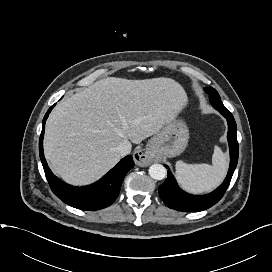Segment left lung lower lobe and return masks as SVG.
Wrapping results in <instances>:
<instances>
[{
	"instance_id": "1",
	"label": "left lung lower lobe",
	"mask_w": 272,
	"mask_h": 272,
	"mask_svg": "<svg viewBox=\"0 0 272 272\" xmlns=\"http://www.w3.org/2000/svg\"><path fill=\"white\" fill-rule=\"evenodd\" d=\"M210 102L212 106L227 119L228 122L227 138L230 150V166L228 174L224 182L216 190L206 195L196 196L181 190L169 170L167 179L159 186L160 198L169 208L183 212H197L215 205L223 197L237 166L239 149L236 135L237 126L234 117L225 108L222 101L210 100Z\"/></svg>"
}]
</instances>
